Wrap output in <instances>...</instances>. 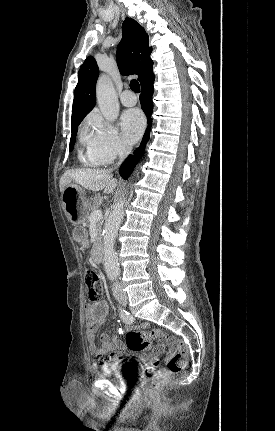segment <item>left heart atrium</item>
<instances>
[{"instance_id": "left-heart-atrium-1", "label": "left heart atrium", "mask_w": 275, "mask_h": 431, "mask_svg": "<svg viewBox=\"0 0 275 431\" xmlns=\"http://www.w3.org/2000/svg\"><path fill=\"white\" fill-rule=\"evenodd\" d=\"M145 126V117L138 109L127 110L121 117L123 136L128 143L136 142L141 137Z\"/></svg>"}]
</instances>
